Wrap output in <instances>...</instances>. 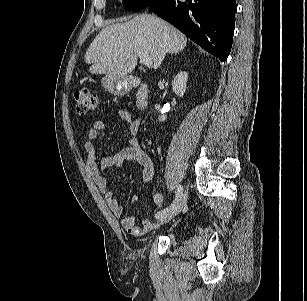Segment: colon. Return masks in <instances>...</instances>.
<instances>
[{
    "label": "colon",
    "mask_w": 307,
    "mask_h": 301,
    "mask_svg": "<svg viewBox=\"0 0 307 301\" xmlns=\"http://www.w3.org/2000/svg\"><path fill=\"white\" fill-rule=\"evenodd\" d=\"M76 111L80 115H85L96 111L98 106L97 96L89 90H80L74 95Z\"/></svg>",
    "instance_id": "obj_1"
}]
</instances>
